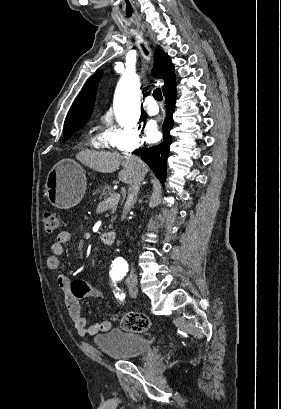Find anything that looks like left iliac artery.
I'll use <instances>...</instances> for the list:
<instances>
[{
	"label": "left iliac artery",
	"mask_w": 281,
	"mask_h": 409,
	"mask_svg": "<svg viewBox=\"0 0 281 409\" xmlns=\"http://www.w3.org/2000/svg\"><path fill=\"white\" fill-rule=\"evenodd\" d=\"M115 296L116 298H118L119 300H123L125 298V294L120 291L119 288H117L116 292H115Z\"/></svg>",
	"instance_id": "left-iliac-artery-1"
}]
</instances>
